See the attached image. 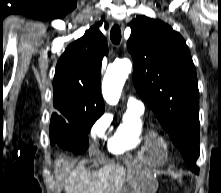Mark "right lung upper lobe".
<instances>
[{
  "mask_svg": "<svg viewBox=\"0 0 221 193\" xmlns=\"http://www.w3.org/2000/svg\"><path fill=\"white\" fill-rule=\"evenodd\" d=\"M101 24L102 21L98 22ZM107 54V41L97 27H91L67 47L56 66L53 101L58 111L52 117L67 119L103 114L101 64Z\"/></svg>",
  "mask_w": 221,
  "mask_h": 193,
  "instance_id": "cb5924a9",
  "label": "right lung upper lobe"
}]
</instances>
